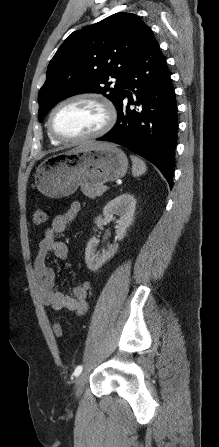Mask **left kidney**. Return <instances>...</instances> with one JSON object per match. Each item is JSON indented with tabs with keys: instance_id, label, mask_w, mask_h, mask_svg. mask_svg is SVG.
<instances>
[{
	"instance_id": "5707ae66",
	"label": "left kidney",
	"mask_w": 219,
	"mask_h": 447,
	"mask_svg": "<svg viewBox=\"0 0 219 447\" xmlns=\"http://www.w3.org/2000/svg\"><path fill=\"white\" fill-rule=\"evenodd\" d=\"M136 200L130 193H124L117 196L106 204L103 209V217L98 216L95 224L99 227L106 222L115 220L114 215L119 217L116 220L115 232L118 241L122 240L126 234L127 228L133 221L135 213ZM98 241L92 237L87 243L85 249V262L91 271L98 270L107 260L111 259L117 252L118 244H108L107 249L97 251Z\"/></svg>"
}]
</instances>
